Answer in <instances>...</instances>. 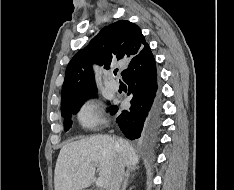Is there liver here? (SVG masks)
Segmentation results:
<instances>
[{"label":"liver","instance_id":"liver-1","mask_svg":"<svg viewBox=\"0 0 234 190\" xmlns=\"http://www.w3.org/2000/svg\"><path fill=\"white\" fill-rule=\"evenodd\" d=\"M118 155L128 169L135 168L139 162L134 147L122 138L94 135L64 145L56 162L55 190L88 188L95 174L93 163L99 164V175L106 187Z\"/></svg>","mask_w":234,"mask_h":190}]
</instances>
